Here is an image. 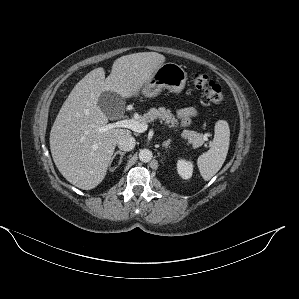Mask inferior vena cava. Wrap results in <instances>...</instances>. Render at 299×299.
I'll return each instance as SVG.
<instances>
[{
	"mask_svg": "<svg viewBox=\"0 0 299 299\" xmlns=\"http://www.w3.org/2000/svg\"><path fill=\"white\" fill-rule=\"evenodd\" d=\"M136 140L131 134L122 135L118 141L117 145L120 150L131 151L135 147Z\"/></svg>",
	"mask_w": 299,
	"mask_h": 299,
	"instance_id": "obj_1",
	"label": "inferior vena cava"
}]
</instances>
